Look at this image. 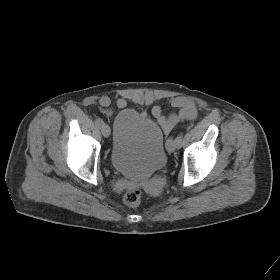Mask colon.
I'll use <instances>...</instances> for the list:
<instances>
[{"label":"colon","mask_w":280,"mask_h":280,"mask_svg":"<svg viewBox=\"0 0 280 280\" xmlns=\"http://www.w3.org/2000/svg\"><path fill=\"white\" fill-rule=\"evenodd\" d=\"M142 198V191L138 188L129 189L124 195V202L130 207L139 205Z\"/></svg>","instance_id":"1"}]
</instances>
